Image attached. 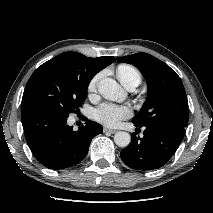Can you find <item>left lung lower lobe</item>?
<instances>
[{
  "label": "left lung lower lobe",
  "instance_id": "0a47b994",
  "mask_svg": "<svg viewBox=\"0 0 213 213\" xmlns=\"http://www.w3.org/2000/svg\"><path fill=\"white\" fill-rule=\"evenodd\" d=\"M135 126L144 127V136L139 137L134 133L129 146L121 151L123 162L135 170L145 171L162 167L185 135L184 130L170 125Z\"/></svg>",
  "mask_w": 213,
  "mask_h": 213
}]
</instances>
